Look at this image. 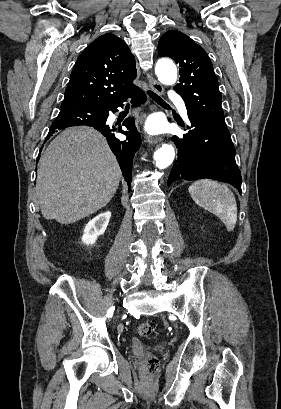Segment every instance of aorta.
<instances>
[{
    "label": "aorta",
    "mask_w": 281,
    "mask_h": 409,
    "mask_svg": "<svg viewBox=\"0 0 281 409\" xmlns=\"http://www.w3.org/2000/svg\"><path fill=\"white\" fill-rule=\"evenodd\" d=\"M155 73L165 85H173L177 80V68L169 59H160L156 63ZM175 150L170 144H164L154 153L155 164L159 169L167 168L174 160Z\"/></svg>",
    "instance_id": "762f6f07"
}]
</instances>
